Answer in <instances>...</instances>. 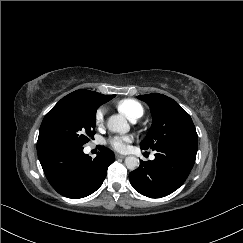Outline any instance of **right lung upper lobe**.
<instances>
[{
  "instance_id": "obj_1",
  "label": "right lung upper lobe",
  "mask_w": 243,
  "mask_h": 243,
  "mask_svg": "<svg viewBox=\"0 0 243 243\" xmlns=\"http://www.w3.org/2000/svg\"><path fill=\"white\" fill-rule=\"evenodd\" d=\"M114 95H102L100 93L89 91V90H77L74 91L64 98H62V101H75L80 102L84 104H88L91 106H100L101 104L111 100Z\"/></svg>"
}]
</instances>
